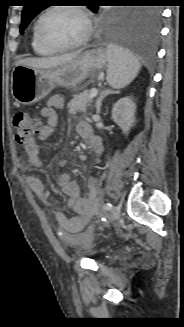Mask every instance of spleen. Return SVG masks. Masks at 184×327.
Segmentation results:
<instances>
[{"label":"spleen","mask_w":184,"mask_h":327,"mask_svg":"<svg viewBox=\"0 0 184 327\" xmlns=\"http://www.w3.org/2000/svg\"><path fill=\"white\" fill-rule=\"evenodd\" d=\"M107 82L116 89L124 88L138 75L141 64L130 52L116 45L106 50Z\"/></svg>","instance_id":"obj_1"}]
</instances>
